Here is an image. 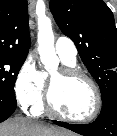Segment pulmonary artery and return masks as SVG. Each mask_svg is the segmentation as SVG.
<instances>
[{
	"instance_id": "1",
	"label": "pulmonary artery",
	"mask_w": 117,
	"mask_h": 136,
	"mask_svg": "<svg viewBox=\"0 0 117 136\" xmlns=\"http://www.w3.org/2000/svg\"><path fill=\"white\" fill-rule=\"evenodd\" d=\"M55 50L59 57L68 62H75L77 49L74 42L68 37H59L55 42Z\"/></svg>"
}]
</instances>
